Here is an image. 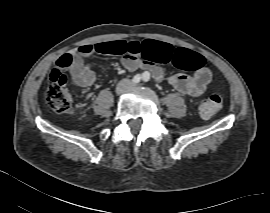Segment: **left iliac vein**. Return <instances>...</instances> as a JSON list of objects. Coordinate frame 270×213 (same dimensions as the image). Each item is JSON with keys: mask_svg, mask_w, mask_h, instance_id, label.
Wrapping results in <instances>:
<instances>
[{"mask_svg": "<svg viewBox=\"0 0 270 213\" xmlns=\"http://www.w3.org/2000/svg\"><path fill=\"white\" fill-rule=\"evenodd\" d=\"M136 87H137V85L132 84V85L130 86V89H134V88H136Z\"/></svg>", "mask_w": 270, "mask_h": 213, "instance_id": "1", "label": "left iliac vein"}]
</instances>
